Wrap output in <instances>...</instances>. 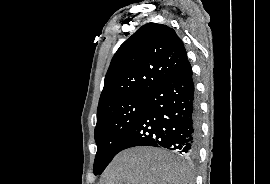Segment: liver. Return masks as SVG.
Masks as SVG:
<instances>
[{"instance_id": "1", "label": "liver", "mask_w": 270, "mask_h": 184, "mask_svg": "<svg viewBox=\"0 0 270 184\" xmlns=\"http://www.w3.org/2000/svg\"><path fill=\"white\" fill-rule=\"evenodd\" d=\"M187 166L161 149L134 147L113 159L99 184H190Z\"/></svg>"}]
</instances>
